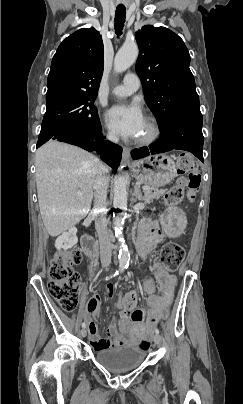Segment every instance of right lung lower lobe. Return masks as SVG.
Returning a JSON list of instances; mask_svg holds the SVG:
<instances>
[{
  "mask_svg": "<svg viewBox=\"0 0 243 404\" xmlns=\"http://www.w3.org/2000/svg\"><path fill=\"white\" fill-rule=\"evenodd\" d=\"M49 140H58L79 146L87 151L101 154V159L113 169L118 168L122 157V148L104 140L102 129H88L78 126H66Z\"/></svg>",
  "mask_w": 243,
  "mask_h": 404,
  "instance_id": "right-lung-lower-lobe-1",
  "label": "right lung lower lobe"
}]
</instances>
